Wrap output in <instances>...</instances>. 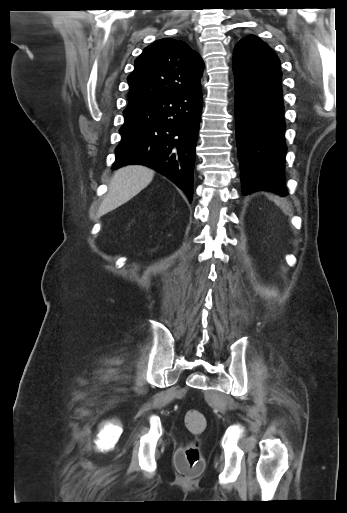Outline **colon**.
I'll list each match as a JSON object with an SVG mask.
<instances>
[{"mask_svg":"<svg viewBox=\"0 0 347 513\" xmlns=\"http://www.w3.org/2000/svg\"><path fill=\"white\" fill-rule=\"evenodd\" d=\"M187 429L195 438L181 449L176 457V467L184 478H194L200 474L204 459L200 450V436L206 428V418L198 410H188L184 417Z\"/></svg>","mask_w":347,"mask_h":513,"instance_id":"obj_1","label":"colon"}]
</instances>
